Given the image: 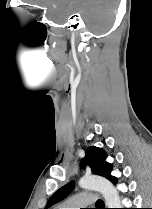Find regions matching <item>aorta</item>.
<instances>
[{
  "label": "aorta",
  "mask_w": 152,
  "mask_h": 209,
  "mask_svg": "<svg viewBox=\"0 0 152 209\" xmlns=\"http://www.w3.org/2000/svg\"><path fill=\"white\" fill-rule=\"evenodd\" d=\"M83 189L99 191L105 198L108 208H120L121 202L116 188L111 182L99 176H84L79 180Z\"/></svg>",
  "instance_id": "762f6f07"
}]
</instances>
